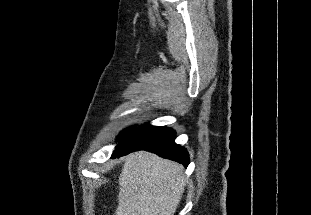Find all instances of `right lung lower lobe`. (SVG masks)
<instances>
[{
    "label": "right lung lower lobe",
    "mask_w": 311,
    "mask_h": 215,
    "mask_svg": "<svg viewBox=\"0 0 311 215\" xmlns=\"http://www.w3.org/2000/svg\"><path fill=\"white\" fill-rule=\"evenodd\" d=\"M175 131L167 127L143 125L132 130L116 146L112 158L127 155L134 151L146 150L160 157L177 161L186 167L189 156L186 149L174 142Z\"/></svg>",
    "instance_id": "right-lung-lower-lobe-1"
}]
</instances>
